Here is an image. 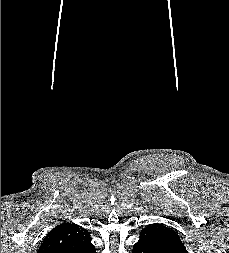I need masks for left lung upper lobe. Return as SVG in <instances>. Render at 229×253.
I'll return each mask as SVG.
<instances>
[{"instance_id": "left-lung-upper-lobe-1", "label": "left lung upper lobe", "mask_w": 229, "mask_h": 253, "mask_svg": "<svg viewBox=\"0 0 229 253\" xmlns=\"http://www.w3.org/2000/svg\"><path fill=\"white\" fill-rule=\"evenodd\" d=\"M139 240L183 245L178 234L174 230L163 224L157 223L145 227L140 233Z\"/></svg>"}]
</instances>
